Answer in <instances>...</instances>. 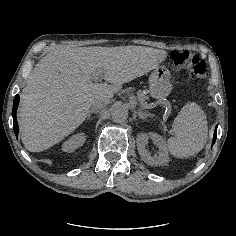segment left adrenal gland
Wrapping results in <instances>:
<instances>
[{"label":"left adrenal gland","mask_w":236,"mask_h":236,"mask_svg":"<svg viewBox=\"0 0 236 236\" xmlns=\"http://www.w3.org/2000/svg\"><path fill=\"white\" fill-rule=\"evenodd\" d=\"M138 116L140 119H146L147 117H154V114L149 113L147 111L143 112V111H141V109H139Z\"/></svg>","instance_id":"a2214340"}]
</instances>
